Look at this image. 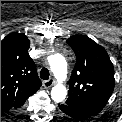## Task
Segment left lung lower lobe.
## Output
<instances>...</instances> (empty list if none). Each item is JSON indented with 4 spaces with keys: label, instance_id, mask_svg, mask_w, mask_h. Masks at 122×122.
<instances>
[{
    "label": "left lung lower lobe",
    "instance_id": "0a47b994",
    "mask_svg": "<svg viewBox=\"0 0 122 122\" xmlns=\"http://www.w3.org/2000/svg\"><path fill=\"white\" fill-rule=\"evenodd\" d=\"M59 108L67 115L75 118V119H78V120H86L88 118L91 117L90 114L84 112V111H81V110H78L76 108H73V107H70L66 104H62V105H59Z\"/></svg>",
    "mask_w": 122,
    "mask_h": 122
}]
</instances>
